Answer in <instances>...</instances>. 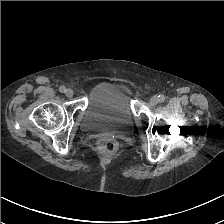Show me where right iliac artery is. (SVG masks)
Here are the masks:
<instances>
[{
	"label": "right iliac artery",
	"mask_w": 224,
	"mask_h": 224,
	"mask_svg": "<svg viewBox=\"0 0 224 224\" xmlns=\"http://www.w3.org/2000/svg\"><path fill=\"white\" fill-rule=\"evenodd\" d=\"M59 91L61 92V93H65L66 92V87L65 86H60L59 87Z\"/></svg>",
	"instance_id": "right-iliac-artery-1"
}]
</instances>
